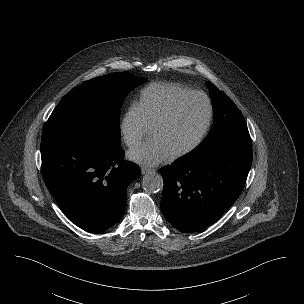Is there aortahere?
<instances>
[{"mask_svg": "<svg viewBox=\"0 0 304 304\" xmlns=\"http://www.w3.org/2000/svg\"><path fill=\"white\" fill-rule=\"evenodd\" d=\"M142 186L149 193H157L163 189V178L156 172H149L143 176Z\"/></svg>", "mask_w": 304, "mask_h": 304, "instance_id": "obj_1", "label": "aorta"}]
</instances>
